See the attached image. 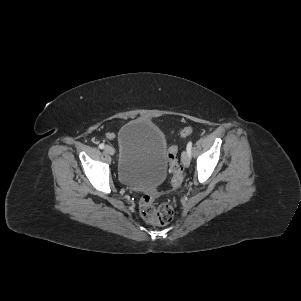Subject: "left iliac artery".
<instances>
[{
	"instance_id": "obj_1",
	"label": "left iliac artery",
	"mask_w": 301,
	"mask_h": 301,
	"mask_svg": "<svg viewBox=\"0 0 301 301\" xmlns=\"http://www.w3.org/2000/svg\"><path fill=\"white\" fill-rule=\"evenodd\" d=\"M191 148H192V142L190 141L187 144V151H188L190 157H191Z\"/></svg>"
}]
</instances>
